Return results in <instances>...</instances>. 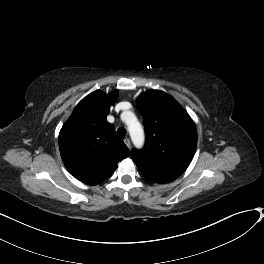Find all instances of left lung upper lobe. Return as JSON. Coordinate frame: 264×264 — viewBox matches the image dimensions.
<instances>
[{
  "instance_id": "left-lung-upper-lobe-1",
  "label": "left lung upper lobe",
  "mask_w": 264,
  "mask_h": 264,
  "mask_svg": "<svg viewBox=\"0 0 264 264\" xmlns=\"http://www.w3.org/2000/svg\"><path fill=\"white\" fill-rule=\"evenodd\" d=\"M143 117L146 141L130 156L141 173L152 182L169 183L191 163L197 145L194 122L170 95L149 90L137 100Z\"/></svg>"
}]
</instances>
